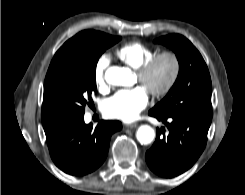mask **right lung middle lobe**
Returning a JSON list of instances; mask_svg holds the SVG:
<instances>
[{
  "label": "right lung middle lobe",
  "mask_w": 245,
  "mask_h": 195,
  "mask_svg": "<svg viewBox=\"0 0 245 195\" xmlns=\"http://www.w3.org/2000/svg\"><path fill=\"white\" fill-rule=\"evenodd\" d=\"M121 40L102 32H80L54 55L44 82L43 100L65 123L84 116L96 90V65L101 54Z\"/></svg>",
  "instance_id": "right-lung-middle-lobe-1"
}]
</instances>
